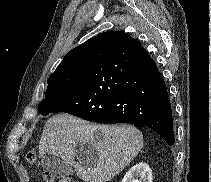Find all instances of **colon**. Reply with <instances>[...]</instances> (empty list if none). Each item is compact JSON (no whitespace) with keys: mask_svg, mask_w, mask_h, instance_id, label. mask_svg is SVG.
I'll return each mask as SVG.
<instances>
[{"mask_svg":"<svg viewBox=\"0 0 211 182\" xmlns=\"http://www.w3.org/2000/svg\"><path fill=\"white\" fill-rule=\"evenodd\" d=\"M26 159L30 165H37L38 164V155L35 150L28 151L26 155ZM42 180L43 182H79L71 180L65 176L53 173L51 171H44L42 173Z\"/></svg>","mask_w":211,"mask_h":182,"instance_id":"1","label":"colon"}]
</instances>
